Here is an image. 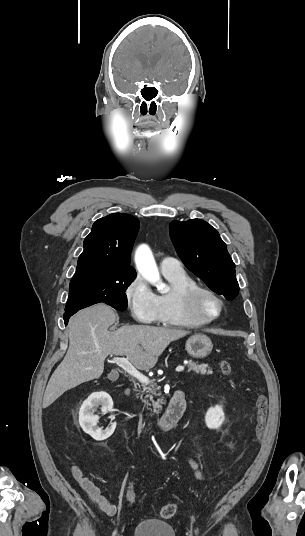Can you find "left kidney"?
Segmentation results:
<instances>
[{
    "instance_id": "left-kidney-1",
    "label": "left kidney",
    "mask_w": 305,
    "mask_h": 536,
    "mask_svg": "<svg viewBox=\"0 0 305 536\" xmlns=\"http://www.w3.org/2000/svg\"><path fill=\"white\" fill-rule=\"evenodd\" d=\"M205 422L207 428H211V430H217V428H220L221 424L224 422V412L222 410V406H214V408H209L205 416Z\"/></svg>"
}]
</instances>
